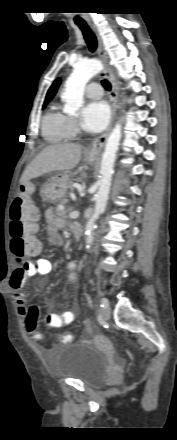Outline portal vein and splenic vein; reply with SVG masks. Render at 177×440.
I'll use <instances>...</instances> for the list:
<instances>
[{
    "label": "portal vein and splenic vein",
    "instance_id": "portal-vein-and-splenic-vein-1",
    "mask_svg": "<svg viewBox=\"0 0 177 440\" xmlns=\"http://www.w3.org/2000/svg\"><path fill=\"white\" fill-rule=\"evenodd\" d=\"M69 217L72 218V219H76V218L79 217V212H78V211H72V212L69 214Z\"/></svg>",
    "mask_w": 177,
    "mask_h": 440
}]
</instances>
